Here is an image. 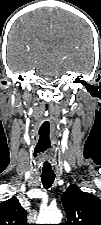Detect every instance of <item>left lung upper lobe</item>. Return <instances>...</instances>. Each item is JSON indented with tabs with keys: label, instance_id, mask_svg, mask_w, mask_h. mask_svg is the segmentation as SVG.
Returning a JSON list of instances; mask_svg holds the SVG:
<instances>
[{
	"label": "left lung upper lobe",
	"instance_id": "obj_1",
	"mask_svg": "<svg viewBox=\"0 0 101 225\" xmlns=\"http://www.w3.org/2000/svg\"><path fill=\"white\" fill-rule=\"evenodd\" d=\"M62 204L68 218L65 225H101V200L75 184L63 193Z\"/></svg>",
	"mask_w": 101,
	"mask_h": 225
}]
</instances>
